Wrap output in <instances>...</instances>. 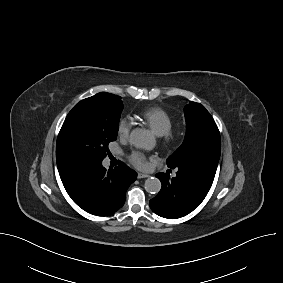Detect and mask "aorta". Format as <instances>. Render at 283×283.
<instances>
[{
    "mask_svg": "<svg viewBox=\"0 0 283 283\" xmlns=\"http://www.w3.org/2000/svg\"><path fill=\"white\" fill-rule=\"evenodd\" d=\"M130 143L136 148L150 150L154 147L155 140L151 133L143 128H136L130 134ZM145 190L157 194L161 190V182L156 177H149L144 184Z\"/></svg>",
    "mask_w": 283,
    "mask_h": 283,
    "instance_id": "762f6f07",
    "label": "aorta"
}]
</instances>
